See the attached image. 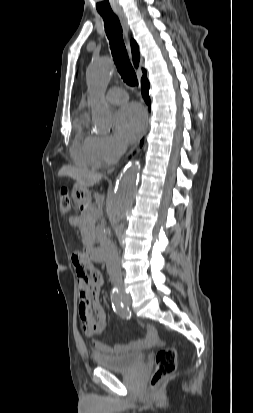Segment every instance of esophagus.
Instances as JSON below:
<instances>
[{"instance_id":"1","label":"esophagus","mask_w":253,"mask_h":413,"mask_svg":"<svg viewBox=\"0 0 253 413\" xmlns=\"http://www.w3.org/2000/svg\"><path fill=\"white\" fill-rule=\"evenodd\" d=\"M117 15L120 20L121 26L123 28L124 36L127 41V48L130 51V37H129V26L127 23V18L123 12H118Z\"/></svg>"}]
</instances>
